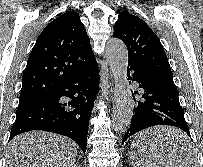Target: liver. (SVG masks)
Segmentation results:
<instances>
[{"mask_svg":"<svg viewBox=\"0 0 203 167\" xmlns=\"http://www.w3.org/2000/svg\"><path fill=\"white\" fill-rule=\"evenodd\" d=\"M184 136L187 137L176 128L157 126L141 132L136 140L163 165L178 167L188 160L189 150L178 146ZM76 156V145L69 138L31 131L14 137L8 144L6 167H73Z\"/></svg>","mask_w":203,"mask_h":167,"instance_id":"1","label":"liver"}]
</instances>
